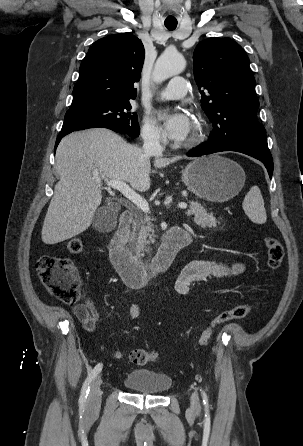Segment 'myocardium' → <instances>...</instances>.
<instances>
[{
  "instance_id": "1",
  "label": "myocardium",
  "mask_w": 303,
  "mask_h": 446,
  "mask_svg": "<svg viewBox=\"0 0 303 446\" xmlns=\"http://www.w3.org/2000/svg\"><path fill=\"white\" fill-rule=\"evenodd\" d=\"M204 137V121L200 114L195 113L194 130L189 139H187L182 146L186 148L198 145Z\"/></svg>"
}]
</instances>
